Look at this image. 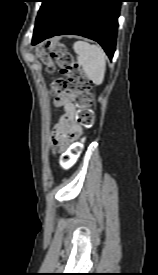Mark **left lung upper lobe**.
Returning a JSON list of instances; mask_svg holds the SVG:
<instances>
[{
	"label": "left lung upper lobe",
	"instance_id": "5c2ea615",
	"mask_svg": "<svg viewBox=\"0 0 158 275\" xmlns=\"http://www.w3.org/2000/svg\"><path fill=\"white\" fill-rule=\"evenodd\" d=\"M51 0H42V6L38 12V16L36 18V22H35V28L38 27L43 19L44 16V10L47 7V5L50 3Z\"/></svg>",
	"mask_w": 158,
	"mask_h": 275
}]
</instances>
